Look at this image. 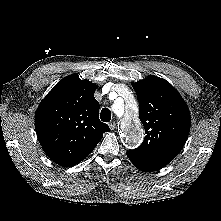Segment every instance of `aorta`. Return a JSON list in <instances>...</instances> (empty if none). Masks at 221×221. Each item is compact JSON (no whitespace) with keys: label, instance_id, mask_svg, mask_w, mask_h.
Instances as JSON below:
<instances>
[{"label":"aorta","instance_id":"aorta-1","mask_svg":"<svg viewBox=\"0 0 221 221\" xmlns=\"http://www.w3.org/2000/svg\"><path fill=\"white\" fill-rule=\"evenodd\" d=\"M127 93V105H131L134 103V98L131 92L126 91ZM124 108V105H123ZM122 104L117 103L115 105V112L120 115L122 113ZM131 109V108H130ZM121 135L123 140L125 141L128 147H136L138 146L143 138V129L141 127L140 122L138 121L135 111L129 110L127 111L125 117L121 121Z\"/></svg>","mask_w":221,"mask_h":221}]
</instances>
